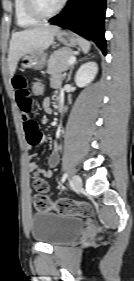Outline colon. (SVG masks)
<instances>
[{
  "instance_id": "5ec220e1",
  "label": "colon",
  "mask_w": 134,
  "mask_h": 281,
  "mask_svg": "<svg viewBox=\"0 0 134 281\" xmlns=\"http://www.w3.org/2000/svg\"><path fill=\"white\" fill-rule=\"evenodd\" d=\"M30 90L32 95L41 96L45 92V84L41 80H34L30 85ZM34 187L39 192H45L48 189L47 183L40 178L34 180ZM33 205L37 211L55 210L64 215H79L86 217L92 213L91 206L85 202H77L66 198L52 201L45 194H37L33 199Z\"/></svg>"
}]
</instances>
